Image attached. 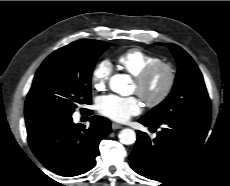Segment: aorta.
<instances>
[{
	"mask_svg": "<svg viewBox=\"0 0 230 186\" xmlns=\"http://www.w3.org/2000/svg\"><path fill=\"white\" fill-rule=\"evenodd\" d=\"M129 83V78L123 74L114 75L110 80V88L116 93L124 94ZM119 139L122 144L130 145L136 141V133L130 128L120 131Z\"/></svg>",
	"mask_w": 230,
	"mask_h": 186,
	"instance_id": "obj_1",
	"label": "aorta"
}]
</instances>
